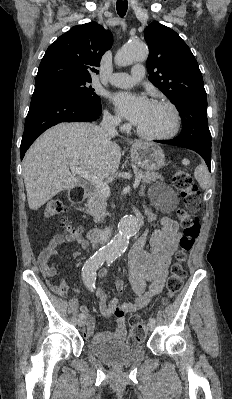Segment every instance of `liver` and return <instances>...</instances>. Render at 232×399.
I'll return each instance as SVG.
<instances>
[{"label":"liver","instance_id":"liver-1","mask_svg":"<svg viewBox=\"0 0 232 399\" xmlns=\"http://www.w3.org/2000/svg\"><path fill=\"white\" fill-rule=\"evenodd\" d=\"M110 140L96 124H58L44 132L22 162L30 209H38L58 192L78 186V178L69 170L72 166L87 170L97 178L115 174L121 148Z\"/></svg>","mask_w":232,"mask_h":399}]
</instances>
